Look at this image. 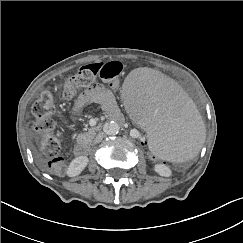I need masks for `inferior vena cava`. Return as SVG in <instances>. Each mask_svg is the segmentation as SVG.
<instances>
[{"label": "inferior vena cava", "instance_id": "1", "mask_svg": "<svg viewBox=\"0 0 243 243\" xmlns=\"http://www.w3.org/2000/svg\"><path fill=\"white\" fill-rule=\"evenodd\" d=\"M104 136H105L104 133H103V132H100V133L97 134V136L94 138L93 143H94V144H97V143L101 142L102 139L104 138Z\"/></svg>", "mask_w": 243, "mask_h": 243}]
</instances>
